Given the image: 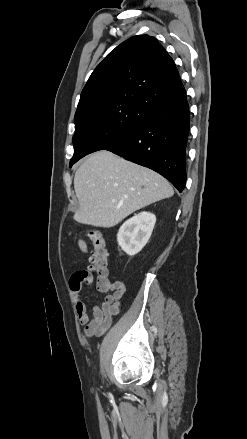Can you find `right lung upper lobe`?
<instances>
[{
  "mask_svg": "<svg viewBox=\"0 0 247 439\" xmlns=\"http://www.w3.org/2000/svg\"><path fill=\"white\" fill-rule=\"evenodd\" d=\"M185 92L175 63L157 39L131 37L93 71L82 90L76 114L97 105L129 100L151 109Z\"/></svg>",
  "mask_w": 247,
  "mask_h": 439,
  "instance_id": "1",
  "label": "right lung upper lobe"
}]
</instances>
